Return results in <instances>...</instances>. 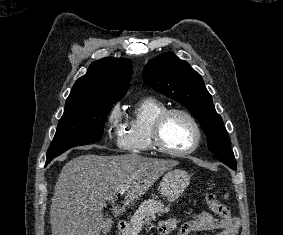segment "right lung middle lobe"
Returning <instances> with one entry per match:
<instances>
[{"label":"right lung middle lobe","instance_id":"1","mask_svg":"<svg viewBox=\"0 0 283 235\" xmlns=\"http://www.w3.org/2000/svg\"><path fill=\"white\" fill-rule=\"evenodd\" d=\"M116 102L66 103L46 163L70 148L101 140L105 120Z\"/></svg>","mask_w":283,"mask_h":235}]
</instances>
